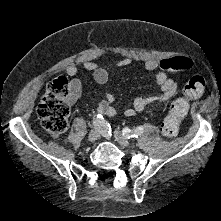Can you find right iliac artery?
<instances>
[{"label": "right iliac artery", "mask_w": 221, "mask_h": 221, "mask_svg": "<svg viewBox=\"0 0 221 221\" xmlns=\"http://www.w3.org/2000/svg\"><path fill=\"white\" fill-rule=\"evenodd\" d=\"M93 124L96 128H99L101 130H105L107 131L109 128V124L107 125V123H105L104 118L101 114H98L94 120H93Z\"/></svg>", "instance_id": "1"}]
</instances>
